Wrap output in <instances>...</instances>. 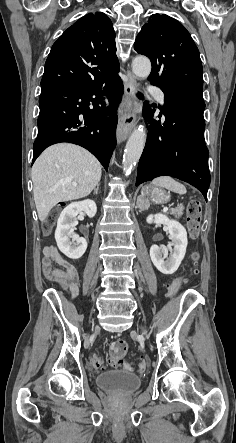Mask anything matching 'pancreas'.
I'll return each instance as SVG.
<instances>
[{
  "label": "pancreas",
  "instance_id": "obj_1",
  "mask_svg": "<svg viewBox=\"0 0 236 443\" xmlns=\"http://www.w3.org/2000/svg\"><path fill=\"white\" fill-rule=\"evenodd\" d=\"M183 210H184L183 206H178L174 209H171L170 214L175 216L176 218H179L183 215Z\"/></svg>",
  "mask_w": 236,
  "mask_h": 443
}]
</instances>
